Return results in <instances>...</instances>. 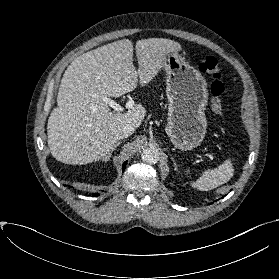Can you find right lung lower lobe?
<instances>
[{
	"label": "right lung lower lobe",
	"instance_id": "right-lung-lower-lobe-1",
	"mask_svg": "<svg viewBox=\"0 0 279 279\" xmlns=\"http://www.w3.org/2000/svg\"><path fill=\"white\" fill-rule=\"evenodd\" d=\"M125 165H126V162L123 164V167H122L123 171H124V169H125ZM98 195H99L98 193H94V194H93V196H98Z\"/></svg>",
	"mask_w": 279,
	"mask_h": 279
}]
</instances>
